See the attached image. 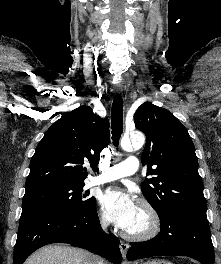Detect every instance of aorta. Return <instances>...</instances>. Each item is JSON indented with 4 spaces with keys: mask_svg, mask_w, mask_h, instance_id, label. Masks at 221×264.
Listing matches in <instances>:
<instances>
[{
    "mask_svg": "<svg viewBox=\"0 0 221 264\" xmlns=\"http://www.w3.org/2000/svg\"><path fill=\"white\" fill-rule=\"evenodd\" d=\"M145 142V138L142 134L140 133H134L131 135V142L129 140V138L124 137L121 140V147L124 151H130L132 149V147L134 149H139L143 146Z\"/></svg>",
    "mask_w": 221,
    "mask_h": 264,
    "instance_id": "1",
    "label": "aorta"
}]
</instances>
